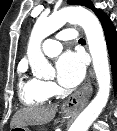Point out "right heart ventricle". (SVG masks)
I'll return each mask as SVG.
<instances>
[{
    "mask_svg": "<svg viewBox=\"0 0 117 131\" xmlns=\"http://www.w3.org/2000/svg\"><path fill=\"white\" fill-rule=\"evenodd\" d=\"M18 88L20 100L27 106L43 105L51 96L44 81L26 74L21 75Z\"/></svg>",
    "mask_w": 117,
    "mask_h": 131,
    "instance_id": "1",
    "label": "right heart ventricle"
}]
</instances>
